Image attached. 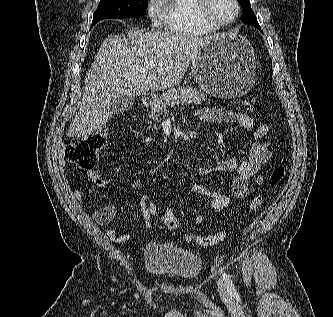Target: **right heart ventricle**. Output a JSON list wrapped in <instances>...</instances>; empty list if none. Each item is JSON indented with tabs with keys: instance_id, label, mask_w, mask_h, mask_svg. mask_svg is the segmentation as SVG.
<instances>
[{
	"instance_id": "obj_1",
	"label": "right heart ventricle",
	"mask_w": 333,
	"mask_h": 317,
	"mask_svg": "<svg viewBox=\"0 0 333 317\" xmlns=\"http://www.w3.org/2000/svg\"><path fill=\"white\" fill-rule=\"evenodd\" d=\"M163 27L169 34L180 37H199L215 31L203 25L195 13V0H163Z\"/></svg>"
}]
</instances>
